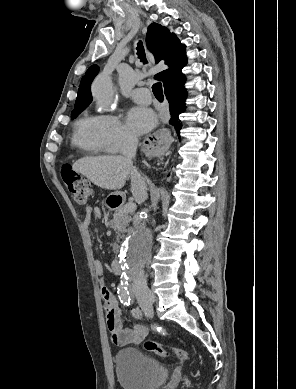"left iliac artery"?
I'll list each match as a JSON object with an SVG mask.
<instances>
[{
	"label": "left iliac artery",
	"mask_w": 296,
	"mask_h": 389,
	"mask_svg": "<svg viewBox=\"0 0 296 389\" xmlns=\"http://www.w3.org/2000/svg\"><path fill=\"white\" fill-rule=\"evenodd\" d=\"M135 316L139 317V311L135 310L133 313Z\"/></svg>",
	"instance_id": "obj_1"
}]
</instances>
